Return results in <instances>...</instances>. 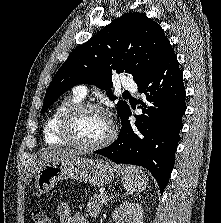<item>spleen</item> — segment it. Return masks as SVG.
<instances>
[{
    "label": "spleen",
    "instance_id": "spleen-1",
    "mask_svg": "<svg viewBox=\"0 0 221 223\" xmlns=\"http://www.w3.org/2000/svg\"><path fill=\"white\" fill-rule=\"evenodd\" d=\"M125 190L130 194H138L148 185V177L139 167L129 165H114Z\"/></svg>",
    "mask_w": 221,
    "mask_h": 223
}]
</instances>
